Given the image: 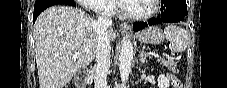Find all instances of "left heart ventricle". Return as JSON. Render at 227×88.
Instances as JSON below:
<instances>
[{
	"label": "left heart ventricle",
	"instance_id": "1",
	"mask_svg": "<svg viewBox=\"0 0 227 88\" xmlns=\"http://www.w3.org/2000/svg\"><path fill=\"white\" fill-rule=\"evenodd\" d=\"M124 9L128 13L146 14L152 9L151 0H131L124 3Z\"/></svg>",
	"mask_w": 227,
	"mask_h": 88
}]
</instances>
